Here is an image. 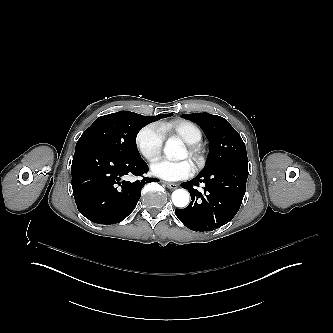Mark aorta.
<instances>
[{
	"label": "aorta",
	"mask_w": 333,
	"mask_h": 333,
	"mask_svg": "<svg viewBox=\"0 0 333 333\" xmlns=\"http://www.w3.org/2000/svg\"><path fill=\"white\" fill-rule=\"evenodd\" d=\"M183 152L181 140L178 138H169L166 140L163 152L168 157H176L177 152ZM172 202L176 207H185L189 203V193L185 189H176L172 193Z\"/></svg>",
	"instance_id": "762f6f07"
}]
</instances>
